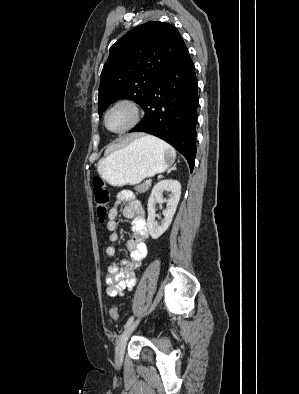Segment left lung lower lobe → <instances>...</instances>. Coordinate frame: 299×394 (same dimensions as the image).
<instances>
[{
	"label": "left lung lower lobe",
	"mask_w": 299,
	"mask_h": 394,
	"mask_svg": "<svg viewBox=\"0 0 299 394\" xmlns=\"http://www.w3.org/2000/svg\"><path fill=\"white\" fill-rule=\"evenodd\" d=\"M197 78L187 47L161 73L142 106L145 115L130 132H146L177 149L191 172L196 155Z\"/></svg>",
	"instance_id": "0a47b994"
}]
</instances>
